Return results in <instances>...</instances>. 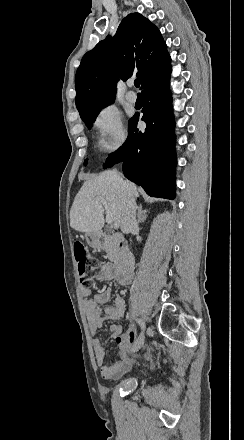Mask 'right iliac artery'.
<instances>
[{
  "instance_id": "1",
  "label": "right iliac artery",
  "mask_w": 244,
  "mask_h": 440,
  "mask_svg": "<svg viewBox=\"0 0 244 440\" xmlns=\"http://www.w3.org/2000/svg\"><path fill=\"white\" fill-rule=\"evenodd\" d=\"M137 323L141 326V328L144 330L145 329V323L140 320V319H136Z\"/></svg>"
}]
</instances>
